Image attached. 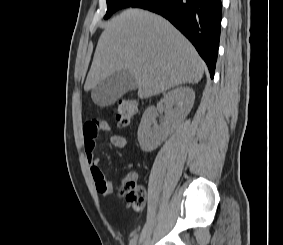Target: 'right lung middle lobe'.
Returning a JSON list of instances; mask_svg holds the SVG:
<instances>
[{"label": "right lung middle lobe", "instance_id": "obj_1", "mask_svg": "<svg viewBox=\"0 0 283 245\" xmlns=\"http://www.w3.org/2000/svg\"><path fill=\"white\" fill-rule=\"evenodd\" d=\"M107 1V12L105 19L109 18L114 12L119 9L130 7L140 0H106Z\"/></svg>", "mask_w": 283, "mask_h": 245}]
</instances>
